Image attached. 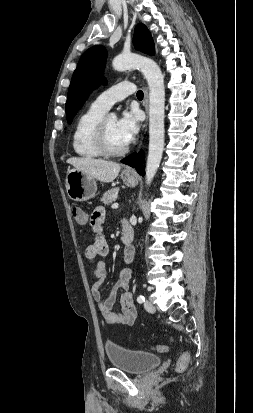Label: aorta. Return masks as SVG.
<instances>
[{
  "label": "aorta",
  "mask_w": 253,
  "mask_h": 413,
  "mask_svg": "<svg viewBox=\"0 0 253 413\" xmlns=\"http://www.w3.org/2000/svg\"><path fill=\"white\" fill-rule=\"evenodd\" d=\"M117 71L139 69L149 86V152L146 163V184L149 185L161 162L164 150V78L160 67L147 57L128 54L118 55L112 61ZM115 118L114 114H111Z\"/></svg>",
  "instance_id": "762f6f07"
}]
</instances>
